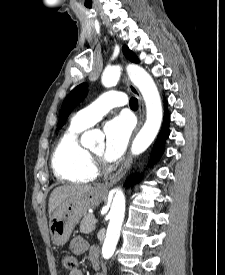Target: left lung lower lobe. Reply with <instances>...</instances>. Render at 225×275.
I'll return each instance as SVG.
<instances>
[{"label":"left lung lower lobe","instance_id":"0a47b994","mask_svg":"<svg viewBox=\"0 0 225 275\" xmlns=\"http://www.w3.org/2000/svg\"><path fill=\"white\" fill-rule=\"evenodd\" d=\"M169 121H170V116H169L167 108H166L163 126H162V129H161L158 137H157V141L155 142V144L153 146V151L151 153V159H150L151 163L155 162L160 157V155L163 153L164 142L169 136V126H168ZM135 180H136L135 178L129 179L128 182H129V184H132L133 182H135Z\"/></svg>","mask_w":225,"mask_h":275}]
</instances>
